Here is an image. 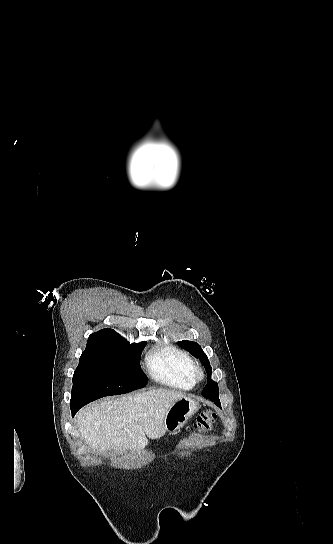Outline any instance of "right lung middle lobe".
<instances>
[{
    "instance_id": "right-lung-middle-lobe-1",
    "label": "right lung middle lobe",
    "mask_w": 333,
    "mask_h": 544,
    "mask_svg": "<svg viewBox=\"0 0 333 544\" xmlns=\"http://www.w3.org/2000/svg\"><path fill=\"white\" fill-rule=\"evenodd\" d=\"M145 344L124 339L103 353H82L72 379L70 407L145 387L147 378L139 364Z\"/></svg>"
}]
</instances>
